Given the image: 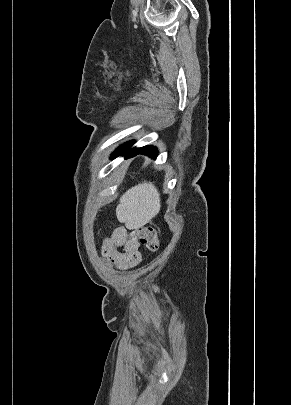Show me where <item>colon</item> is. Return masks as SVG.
<instances>
[{"label":"colon","instance_id":"1","mask_svg":"<svg viewBox=\"0 0 291 405\" xmlns=\"http://www.w3.org/2000/svg\"><path fill=\"white\" fill-rule=\"evenodd\" d=\"M136 236L148 251L156 252L159 249V237L154 226L143 225L139 227L136 230Z\"/></svg>","mask_w":291,"mask_h":405}]
</instances>
